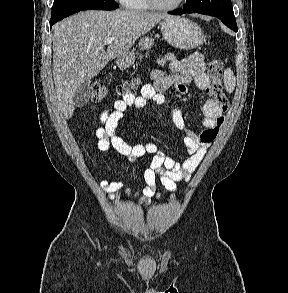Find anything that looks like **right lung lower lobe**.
Returning <instances> with one entry per match:
<instances>
[{
	"label": "right lung lower lobe",
	"mask_w": 288,
	"mask_h": 293,
	"mask_svg": "<svg viewBox=\"0 0 288 293\" xmlns=\"http://www.w3.org/2000/svg\"><path fill=\"white\" fill-rule=\"evenodd\" d=\"M60 20H56V21H50V27H52L53 24H55L56 22H58Z\"/></svg>",
	"instance_id": "98d812e1"
}]
</instances>
